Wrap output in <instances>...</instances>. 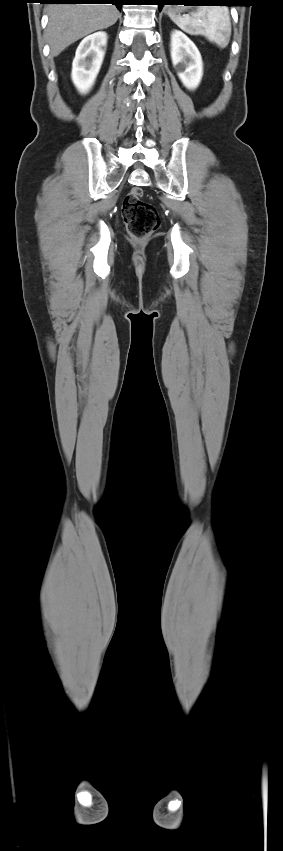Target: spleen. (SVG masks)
Listing matches in <instances>:
<instances>
[{"label":"spleen","instance_id":"1","mask_svg":"<svg viewBox=\"0 0 283 851\" xmlns=\"http://www.w3.org/2000/svg\"><path fill=\"white\" fill-rule=\"evenodd\" d=\"M168 14L184 32L191 35H203L220 48H225L230 41L231 21L227 7H197L191 16H180L171 10Z\"/></svg>","mask_w":283,"mask_h":851}]
</instances>
